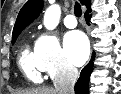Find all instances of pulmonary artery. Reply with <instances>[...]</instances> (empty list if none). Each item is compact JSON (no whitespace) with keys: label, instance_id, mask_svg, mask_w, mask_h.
I'll use <instances>...</instances> for the list:
<instances>
[{"label":"pulmonary artery","instance_id":"pulmonary-artery-1","mask_svg":"<svg viewBox=\"0 0 121 94\" xmlns=\"http://www.w3.org/2000/svg\"><path fill=\"white\" fill-rule=\"evenodd\" d=\"M64 25L67 28H75L77 26L76 17L73 14H68L64 18Z\"/></svg>","mask_w":121,"mask_h":94}]
</instances>
